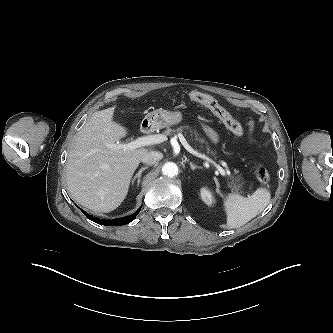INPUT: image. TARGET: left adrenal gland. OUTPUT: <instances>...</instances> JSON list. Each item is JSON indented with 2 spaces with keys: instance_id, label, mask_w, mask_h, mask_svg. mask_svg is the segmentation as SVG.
<instances>
[{
  "instance_id": "left-adrenal-gland-1",
  "label": "left adrenal gland",
  "mask_w": 333,
  "mask_h": 333,
  "mask_svg": "<svg viewBox=\"0 0 333 333\" xmlns=\"http://www.w3.org/2000/svg\"><path fill=\"white\" fill-rule=\"evenodd\" d=\"M189 164H190V167H191V169L194 171L195 169H200L201 167L200 166H197V165H195V164H193L191 161L189 162Z\"/></svg>"
}]
</instances>
